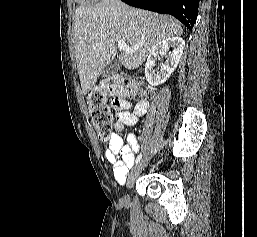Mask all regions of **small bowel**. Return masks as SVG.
<instances>
[{"instance_id":"small-bowel-1","label":"small bowel","mask_w":257,"mask_h":237,"mask_svg":"<svg viewBox=\"0 0 257 237\" xmlns=\"http://www.w3.org/2000/svg\"><path fill=\"white\" fill-rule=\"evenodd\" d=\"M113 106L117 109L114 122L115 133L111 136L104 154L112 165L115 181L124 184L127 174L134 164L135 154L139 151V144L134 134H128L124 141L119 132L123 131L126 126L136 125L139 118L146 114L149 103L146 100L135 103L123 101Z\"/></svg>"}]
</instances>
